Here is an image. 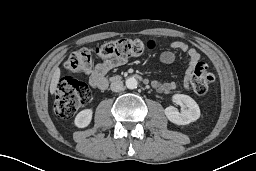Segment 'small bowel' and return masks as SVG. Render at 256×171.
I'll return each mask as SVG.
<instances>
[{
    "mask_svg": "<svg viewBox=\"0 0 256 171\" xmlns=\"http://www.w3.org/2000/svg\"><path fill=\"white\" fill-rule=\"evenodd\" d=\"M171 48L175 50H179L182 52H186L189 56V68L187 70V75L184 80V88L188 87V79L192 69L200 60L199 52L194 48H189V46L182 41H174L171 43ZM159 60L163 64H171L175 60V53L171 50L163 51L160 54ZM125 59L114 58L105 60L95 66V68L91 71L89 77V83L93 88L103 90L108 86V79L106 77L107 73L125 63ZM153 87L160 92H169L176 89V84L173 82H153Z\"/></svg>",
    "mask_w": 256,
    "mask_h": 171,
    "instance_id": "obj_1",
    "label": "small bowel"
}]
</instances>
